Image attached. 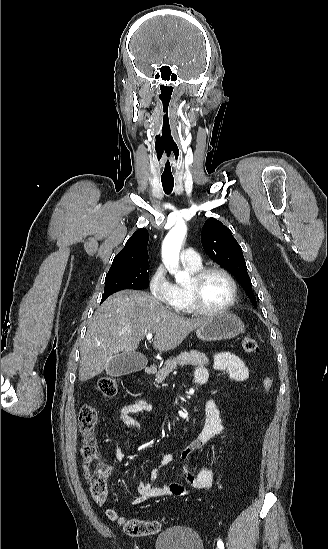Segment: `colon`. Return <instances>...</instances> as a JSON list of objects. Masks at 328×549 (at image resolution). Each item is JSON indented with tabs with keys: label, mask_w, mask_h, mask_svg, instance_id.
<instances>
[{
	"label": "colon",
	"mask_w": 328,
	"mask_h": 549,
	"mask_svg": "<svg viewBox=\"0 0 328 549\" xmlns=\"http://www.w3.org/2000/svg\"><path fill=\"white\" fill-rule=\"evenodd\" d=\"M244 352L254 354L259 351V345L253 337L245 336L241 341ZM263 388L269 391L273 385L271 377H265ZM97 390L106 397H112L118 389L117 380L112 376L101 377L96 384ZM79 430L83 437L81 449L84 471L89 482L90 492L96 502H104L108 495L107 481L110 474L108 468L98 461L97 447L94 440V431L98 422L96 409L89 404L81 406L78 414ZM110 517L116 518V513H110ZM120 526L123 531L131 536H146L157 533L161 523L156 520H141L136 518H120Z\"/></svg>",
	"instance_id": "obj_1"
}]
</instances>
